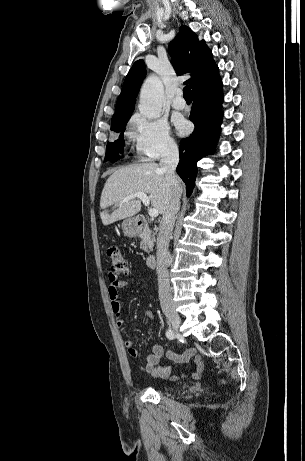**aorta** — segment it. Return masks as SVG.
<instances>
[{"instance_id":"762f6f07","label":"aorta","mask_w":305,"mask_h":461,"mask_svg":"<svg viewBox=\"0 0 305 461\" xmlns=\"http://www.w3.org/2000/svg\"><path fill=\"white\" fill-rule=\"evenodd\" d=\"M164 100V87L159 77L149 76L142 85L140 92V113L148 119H156L161 115Z\"/></svg>"}]
</instances>
